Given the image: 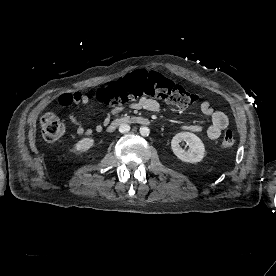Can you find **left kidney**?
Returning <instances> with one entry per match:
<instances>
[{
    "mask_svg": "<svg viewBox=\"0 0 276 276\" xmlns=\"http://www.w3.org/2000/svg\"><path fill=\"white\" fill-rule=\"evenodd\" d=\"M182 141H185L189 146L187 151L180 146ZM171 147L173 153L183 162L197 163L200 162L205 155V146L202 140L191 132L176 134L171 141Z\"/></svg>",
    "mask_w": 276,
    "mask_h": 276,
    "instance_id": "left-kidney-1",
    "label": "left kidney"
}]
</instances>
